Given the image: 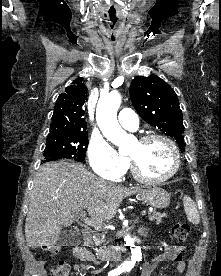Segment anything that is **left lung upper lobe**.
<instances>
[{"mask_svg":"<svg viewBox=\"0 0 221 276\" xmlns=\"http://www.w3.org/2000/svg\"><path fill=\"white\" fill-rule=\"evenodd\" d=\"M132 104L140 117L168 136L184 151L183 114L176 93L157 75L137 76L130 85Z\"/></svg>","mask_w":221,"mask_h":276,"instance_id":"left-lung-upper-lobe-1","label":"left lung upper lobe"}]
</instances>
